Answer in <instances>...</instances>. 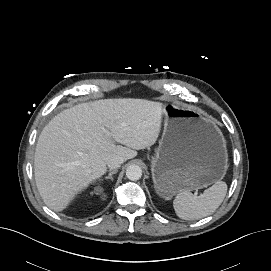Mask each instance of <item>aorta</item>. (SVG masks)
Masks as SVG:
<instances>
[{"instance_id":"762f6f07","label":"aorta","mask_w":271,"mask_h":271,"mask_svg":"<svg viewBox=\"0 0 271 271\" xmlns=\"http://www.w3.org/2000/svg\"><path fill=\"white\" fill-rule=\"evenodd\" d=\"M126 176L131 181H137L142 177V169L138 165H130L126 169Z\"/></svg>"}]
</instances>
